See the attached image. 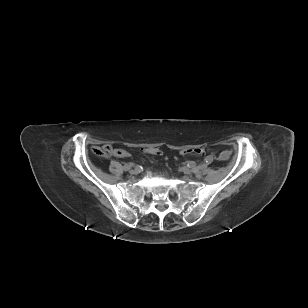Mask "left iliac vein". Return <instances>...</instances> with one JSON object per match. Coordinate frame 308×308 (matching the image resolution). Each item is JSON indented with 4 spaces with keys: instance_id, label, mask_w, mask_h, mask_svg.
Wrapping results in <instances>:
<instances>
[{
    "instance_id": "obj_1",
    "label": "left iliac vein",
    "mask_w": 308,
    "mask_h": 308,
    "mask_svg": "<svg viewBox=\"0 0 308 308\" xmlns=\"http://www.w3.org/2000/svg\"><path fill=\"white\" fill-rule=\"evenodd\" d=\"M181 171L184 172L185 174H190L192 172V169L188 167H182Z\"/></svg>"
}]
</instances>
